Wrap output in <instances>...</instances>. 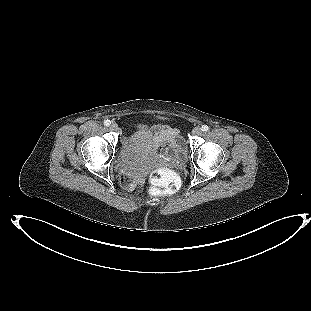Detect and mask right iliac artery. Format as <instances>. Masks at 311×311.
Masks as SVG:
<instances>
[{"mask_svg":"<svg viewBox=\"0 0 311 311\" xmlns=\"http://www.w3.org/2000/svg\"><path fill=\"white\" fill-rule=\"evenodd\" d=\"M110 124H111L110 120H105V121H104V125H105V126H109Z\"/></svg>","mask_w":311,"mask_h":311,"instance_id":"1","label":"right iliac artery"}]
</instances>
